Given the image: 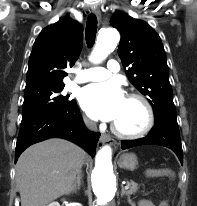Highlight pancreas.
Segmentation results:
<instances>
[{
  "mask_svg": "<svg viewBox=\"0 0 197 206\" xmlns=\"http://www.w3.org/2000/svg\"><path fill=\"white\" fill-rule=\"evenodd\" d=\"M127 185L129 186L127 193L129 195L134 194L138 191V184L135 183L134 181H127Z\"/></svg>",
  "mask_w": 197,
  "mask_h": 206,
  "instance_id": "cf45deb5",
  "label": "pancreas"
}]
</instances>
